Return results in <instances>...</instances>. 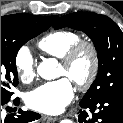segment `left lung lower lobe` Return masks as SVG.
<instances>
[{
    "label": "left lung lower lobe",
    "mask_w": 123,
    "mask_h": 123,
    "mask_svg": "<svg viewBox=\"0 0 123 123\" xmlns=\"http://www.w3.org/2000/svg\"><path fill=\"white\" fill-rule=\"evenodd\" d=\"M80 106L89 109L92 116L80 110L79 123H123V94L103 96L95 100H81Z\"/></svg>",
    "instance_id": "0a47b994"
}]
</instances>
